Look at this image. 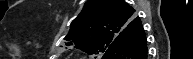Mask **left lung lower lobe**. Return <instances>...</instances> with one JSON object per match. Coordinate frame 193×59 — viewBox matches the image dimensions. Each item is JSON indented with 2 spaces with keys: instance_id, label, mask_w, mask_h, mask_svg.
<instances>
[{
  "instance_id": "obj_1",
  "label": "left lung lower lobe",
  "mask_w": 193,
  "mask_h": 59,
  "mask_svg": "<svg viewBox=\"0 0 193 59\" xmlns=\"http://www.w3.org/2000/svg\"><path fill=\"white\" fill-rule=\"evenodd\" d=\"M102 59H147L146 35L139 18L126 27L122 37L110 45Z\"/></svg>"
}]
</instances>
